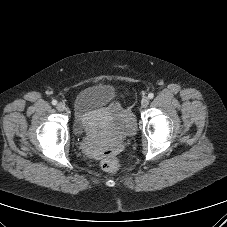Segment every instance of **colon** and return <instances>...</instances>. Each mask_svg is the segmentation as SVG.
I'll return each instance as SVG.
<instances>
[{"mask_svg": "<svg viewBox=\"0 0 227 227\" xmlns=\"http://www.w3.org/2000/svg\"><path fill=\"white\" fill-rule=\"evenodd\" d=\"M102 167L107 171L115 172L120 169V163L110 151H107L102 160Z\"/></svg>", "mask_w": 227, "mask_h": 227, "instance_id": "obj_1", "label": "colon"}]
</instances>
